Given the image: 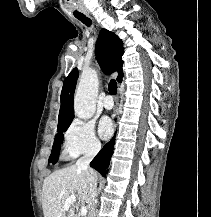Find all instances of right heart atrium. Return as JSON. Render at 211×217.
I'll return each mask as SVG.
<instances>
[{
  "mask_svg": "<svg viewBox=\"0 0 211 217\" xmlns=\"http://www.w3.org/2000/svg\"><path fill=\"white\" fill-rule=\"evenodd\" d=\"M101 148L92 123L75 119L64 136V152L70 158L81 155H94Z\"/></svg>",
  "mask_w": 211,
  "mask_h": 217,
  "instance_id": "d8ad5b80",
  "label": "right heart atrium"
}]
</instances>
